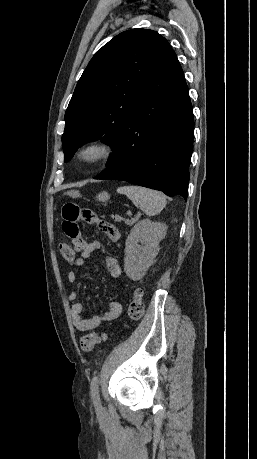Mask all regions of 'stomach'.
<instances>
[{
    "mask_svg": "<svg viewBox=\"0 0 257 459\" xmlns=\"http://www.w3.org/2000/svg\"><path fill=\"white\" fill-rule=\"evenodd\" d=\"M69 194L72 195V196H79L80 195L78 191H71ZM96 199L98 201H102V202L107 201L109 199V194L107 192H105V191L101 192L96 196Z\"/></svg>",
    "mask_w": 257,
    "mask_h": 459,
    "instance_id": "obj_1",
    "label": "stomach"
}]
</instances>
